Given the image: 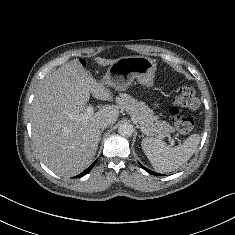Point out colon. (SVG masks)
Wrapping results in <instances>:
<instances>
[{"label": "colon", "mask_w": 235, "mask_h": 235, "mask_svg": "<svg viewBox=\"0 0 235 235\" xmlns=\"http://www.w3.org/2000/svg\"><path fill=\"white\" fill-rule=\"evenodd\" d=\"M198 105L199 101L191 86L183 85L177 89L169 112L172 116L173 124L178 132L188 134L194 127L193 119L190 116L181 114L180 109H196Z\"/></svg>", "instance_id": "1"}]
</instances>
